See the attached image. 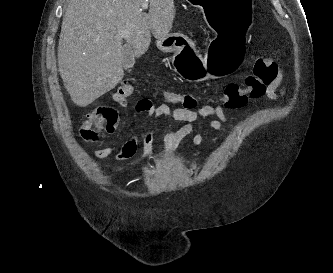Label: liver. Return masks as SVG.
Wrapping results in <instances>:
<instances>
[{
	"instance_id": "6515ba94",
	"label": "liver",
	"mask_w": 333,
	"mask_h": 273,
	"mask_svg": "<svg viewBox=\"0 0 333 273\" xmlns=\"http://www.w3.org/2000/svg\"><path fill=\"white\" fill-rule=\"evenodd\" d=\"M70 0L58 44V67L72 101L86 107L122 80V41L139 58L151 33L169 34L175 17L174 0Z\"/></svg>"
}]
</instances>
